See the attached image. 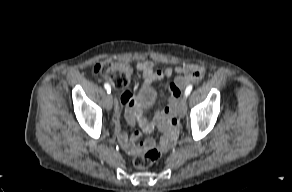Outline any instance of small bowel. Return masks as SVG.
I'll use <instances>...</instances> for the list:
<instances>
[{"instance_id":"1","label":"small bowel","mask_w":292,"mask_h":192,"mask_svg":"<svg viewBox=\"0 0 292 192\" xmlns=\"http://www.w3.org/2000/svg\"><path fill=\"white\" fill-rule=\"evenodd\" d=\"M137 70L142 74L144 87L150 86L156 80L170 79L175 72L177 76L166 88L171 94V100L165 112L158 108L153 120H148L141 117V107L135 97L129 91L124 92L120 100L115 104L113 116L115 134L123 149L131 155L142 154L154 146V141L151 139L138 144L137 141L141 137L140 132L136 131L131 136H128L123 130L121 114L123 106H126V118L129 124H133L137 119L140 127L146 133L153 131L155 127L159 128L162 134L159 148L165 152L175 142L178 134L175 116L180 89L187 84L200 80L204 75V68L198 64H185L176 66L174 69L170 67L156 69L153 61L145 60L137 64Z\"/></svg>"}]
</instances>
